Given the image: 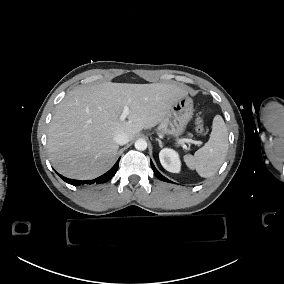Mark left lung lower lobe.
<instances>
[{"label": "left lung lower lobe", "instance_id": "left-lung-lower-lobe-1", "mask_svg": "<svg viewBox=\"0 0 284 284\" xmlns=\"http://www.w3.org/2000/svg\"><path fill=\"white\" fill-rule=\"evenodd\" d=\"M151 167H152V169H153V171H154L155 176H156L158 179H160V180H162V181L171 182L170 180H168L167 178H165L163 175H161V174L158 172V170L155 168V166H154V164L152 163V161H151Z\"/></svg>", "mask_w": 284, "mask_h": 284}]
</instances>
